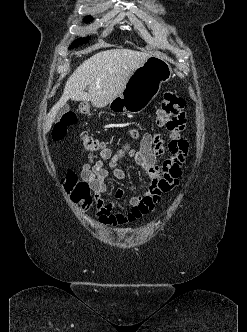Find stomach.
Instances as JSON below:
<instances>
[{
  "mask_svg": "<svg viewBox=\"0 0 247 332\" xmlns=\"http://www.w3.org/2000/svg\"><path fill=\"white\" fill-rule=\"evenodd\" d=\"M172 75L171 66L164 59L151 56L129 77L124 90L109 108L115 112L139 114L158 95L161 85Z\"/></svg>",
  "mask_w": 247,
  "mask_h": 332,
  "instance_id": "0dacf381",
  "label": "stomach"
}]
</instances>
